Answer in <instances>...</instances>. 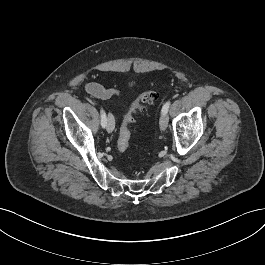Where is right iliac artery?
<instances>
[{
  "label": "right iliac artery",
  "mask_w": 265,
  "mask_h": 265,
  "mask_svg": "<svg viewBox=\"0 0 265 265\" xmlns=\"http://www.w3.org/2000/svg\"><path fill=\"white\" fill-rule=\"evenodd\" d=\"M106 124H107L106 113L104 112L103 109H101V126L103 128H105L106 127Z\"/></svg>",
  "instance_id": "82829eb1"
}]
</instances>
